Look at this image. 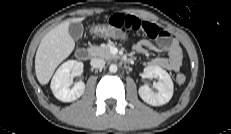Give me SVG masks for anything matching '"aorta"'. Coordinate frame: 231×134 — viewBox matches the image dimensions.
I'll return each mask as SVG.
<instances>
[{
    "instance_id": "aorta-1",
    "label": "aorta",
    "mask_w": 231,
    "mask_h": 134,
    "mask_svg": "<svg viewBox=\"0 0 231 134\" xmlns=\"http://www.w3.org/2000/svg\"><path fill=\"white\" fill-rule=\"evenodd\" d=\"M117 70H118V67H117L116 64H111V65H110L109 71H110L111 73H116Z\"/></svg>"
}]
</instances>
